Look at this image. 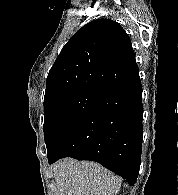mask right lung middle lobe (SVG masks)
Returning <instances> with one entry per match:
<instances>
[{
  "label": "right lung middle lobe",
  "instance_id": "1",
  "mask_svg": "<svg viewBox=\"0 0 178 195\" xmlns=\"http://www.w3.org/2000/svg\"><path fill=\"white\" fill-rule=\"evenodd\" d=\"M98 91L76 90L44 101V139L50 155L90 108Z\"/></svg>",
  "mask_w": 178,
  "mask_h": 195
}]
</instances>
